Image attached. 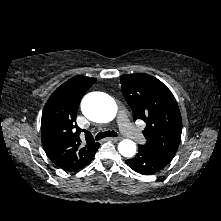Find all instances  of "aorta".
<instances>
[{
  "label": "aorta",
  "instance_id": "obj_1",
  "mask_svg": "<svg viewBox=\"0 0 221 221\" xmlns=\"http://www.w3.org/2000/svg\"><path fill=\"white\" fill-rule=\"evenodd\" d=\"M81 110L90 120L106 123L114 119L117 113L115 101L103 93H90L82 101ZM120 154L131 158L136 153V144L132 140L124 139L118 145Z\"/></svg>",
  "mask_w": 221,
  "mask_h": 221
}]
</instances>
